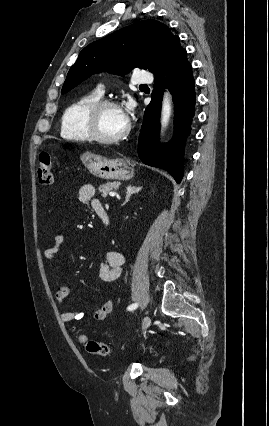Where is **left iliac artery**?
I'll use <instances>...</instances> for the list:
<instances>
[{
    "mask_svg": "<svg viewBox=\"0 0 269 426\" xmlns=\"http://www.w3.org/2000/svg\"><path fill=\"white\" fill-rule=\"evenodd\" d=\"M138 307L137 303L131 304L130 306H128L127 310L128 311H132L135 310Z\"/></svg>",
    "mask_w": 269,
    "mask_h": 426,
    "instance_id": "1",
    "label": "left iliac artery"
}]
</instances>
